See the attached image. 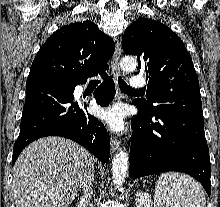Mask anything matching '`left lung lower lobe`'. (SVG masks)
Returning <instances> with one entry per match:
<instances>
[{"label":"left lung lower lobe","instance_id":"left-lung-lower-lobe-1","mask_svg":"<svg viewBox=\"0 0 220 207\" xmlns=\"http://www.w3.org/2000/svg\"><path fill=\"white\" fill-rule=\"evenodd\" d=\"M135 104L139 112L132 118L129 176L184 172L196 178L210 196L211 164L200 91H165L158 95L152 111Z\"/></svg>","mask_w":220,"mask_h":207}]
</instances>
